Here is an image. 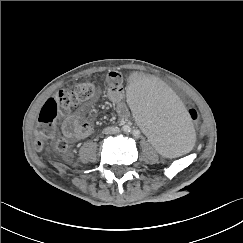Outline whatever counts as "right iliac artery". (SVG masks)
<instances>
[{"label": "right iliac artery", "instance_id": "obj_1", "mask_svg": "<svg viewBox=\"0 0 243 243\" xmlns=\"http://www.w3.org/2000/svg\"><path fill=\"white\" fill-rule=\"evenodd\" d=\"M123 129H124V131H125L126 133L131 132V128H130L128 125H125V126L123 127Z\"/></svg>", "mask_w": 243, "mask_h": 243}]
</instances>
